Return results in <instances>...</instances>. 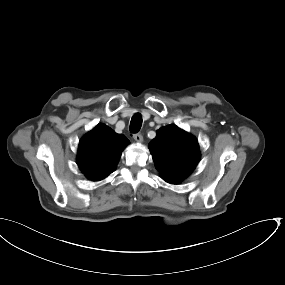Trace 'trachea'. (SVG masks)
Masks as SVG:
<instances>
[{
  "label": "trachea",
  "mask_w": 285,
  "mask_h": 285,
  "mask_svg": "<svg viewBox=\"0 0 285 285\" xmlns=\"http://www.w3.org/2000/svg\"><path fill=\"white\" fill-rule=\"evenodd\" d=\"M141 126H142V117L140 116V114H135L131 119L130 131L132 133H137L140 130Z\"/></svg>",
  "instance_id": "1"
}]
</instances>
